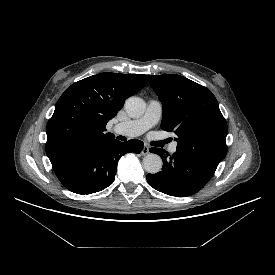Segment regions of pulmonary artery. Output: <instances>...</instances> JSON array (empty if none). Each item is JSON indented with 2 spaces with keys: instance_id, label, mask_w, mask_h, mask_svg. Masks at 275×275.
I'll return each instance as SVG.
<instances>
[{
  "instance_id": "obj_1",
  "label": "pulmonary artery",
  "mask_w": 275,
  "mask_h": 275,
  "mask_svg": "<svg viewBox=\"0 0 275 275\" xmlns=\"http://www.w3.org/2000/svg\"><path fill=\"white\" fill-rule=\"evenodd\" d=\"M162 115V104L158 100H149L145 114L138 119L130 120L115 125L113 131L128 137H135L143 134L145 131L156 125ZM177 144L173 143L169 151L174 153Z\"/></svg>"
}]
</instances>
